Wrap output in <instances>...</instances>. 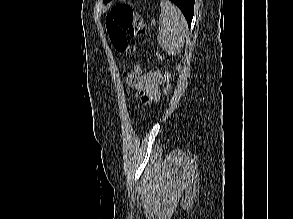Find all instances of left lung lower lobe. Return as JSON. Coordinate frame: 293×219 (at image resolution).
<instances>
[{"label":"left lung lower lobe","mask_w":293,"mask_h":219,"mask_svg":"<svg viewBox=\"0 0 293 219\" xmlns=\"http://www.w3.org/2000/svg\"><path fill=\"white\" fill-rule=\"evenodd\" d=\"M170 1H172L174 4H176L180 8V10L182 11V13L184 14L187 20L188 26L190 27L191 21L193 18L195 0H170Z\"/></svg>","instance_id":"left-lung-lower-lobe-1"}]
</instances>
